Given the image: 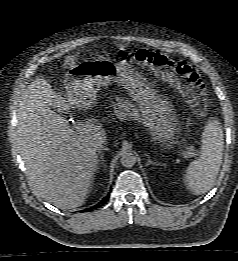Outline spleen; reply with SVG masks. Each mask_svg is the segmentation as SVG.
<instances>
[{"instance_id":"spleen-1","label":"spleen","mask_w":238,"mask_h":261,"mask_svg":"<svg viewBox=\"0 0 238 261\" xmlns=\"http://www.w3.org/2000/svg\"><path fill=\"white\" fill-rule=\"evenodd\" d=\"M223 138L220 122L209 119L202 133L200 158L192 161L184 174V182L194 195L204 194L213 187L222 163Z\"/></svg>"}]
</instances>
